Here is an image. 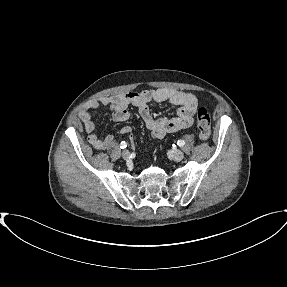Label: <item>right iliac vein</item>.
Segmentation results:
<instances>
[{"instance_id":"63e3f726","label":"right iliac vein","mask_w":287,"mask_h":287,"mask_svg":"<svg viewBox=\"0 0 287 287\" xmlns=\"http://www.w3.org/2000/svg\"><path fill=\"white\" fill-rule=\"evenodd\" d=\"M122 158L128 160L130 158V152L128 150H124L122 152Z\"/></svg>"}]
</instances>
